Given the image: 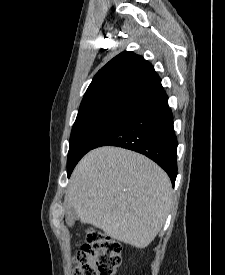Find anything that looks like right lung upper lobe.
Returning <instances> with one entry per match:
<instances>
[{"instance_id": "obj_1", "label": "right lung upper lobe", "mask_w": 225, "mask_h": 275, "mask_svg": "<svg viewBox=\"0 0 225 275\" xmlns=\"http://www.w3.org/2000/svg\"><path fill=\"white\" fill-rule=\"evenodd\" d=\"M167 97L153 66L133 52H122L94 76L76 120L108 112L129 114Z\"/></svg>"}]
</instances>
